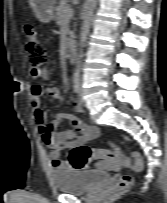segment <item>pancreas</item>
<instances>
[{
    "mask_svg": "<svg viewBox=\"0 0 167 203\" xmlns=\"http://www.w3.org/2000/svg\"><path fill=\"white\" fill-rule=\"evenodd\" d=\"M70 7L68 0H61L59 6L55 9V21L57 25H63V23L68 22L71 17H66V9ZM68 34L72 37L73 32L68 30ZM72 43L71 39H68V46Z\"/></svg>",
    "mask_w": 167,
    "mask_h": 203,
    "instance_id": "cf45deb5",
    "label": "pancreas"
}]
</instances>
